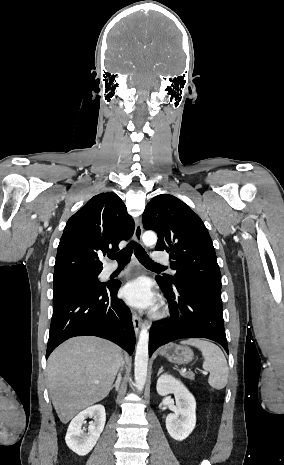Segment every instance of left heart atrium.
Masks as SVG:
<instances>
[{"label":"left heart atrium","instance_id":"obj_1","mask_svg":"<svg viewBox=\"0 0 284 465\" xmlns=\"http://www.w3.org/2000/svg\"><path fill=\"white\" fill-rule=\"evenodd\" d=\"M121 295L128 305L135 308H147L153 306L155 303L150 286L143 278H138L126 284L122 289Z\"/></svg>","mask_w":284,"mask_h":465}]
</instances>
